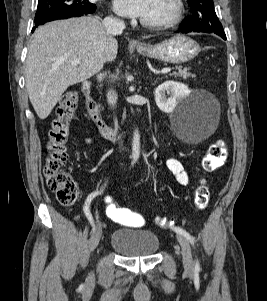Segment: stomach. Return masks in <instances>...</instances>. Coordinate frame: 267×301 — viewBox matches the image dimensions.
<instances>
[{
    "label": "stomach",
    "mask_w": 267,
    "mask_h": 301,
    "mask_svg": "<svg viewBox=\"0 0 267 301\" xmlns=\"http://www.w3.org/2000/svg\"><path fill=\"white\" fill-rule=\"evenodd\" d=\"M136 50L140 55L160 59L164 62L185 63L196 57L201 48L193 39L176 35L157 45H137Z\"/></svg>",
    "instance_id": "1"
}]
</instances>
